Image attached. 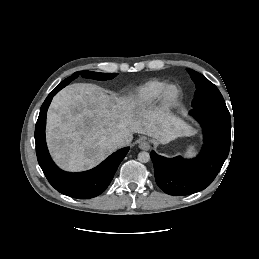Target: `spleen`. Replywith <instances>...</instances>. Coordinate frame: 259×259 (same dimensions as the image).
I'll use <instances>...</instances> for the list:
<instances>
[{
	"label": "spleen",
	"instance_id": "1",
	"mask_svg": "<svg viewBox=\"0 0 259 259\" xmlns=\"http://www.w3.org/2000/svg\"><path fill=\"white\" fill-rule=\"evenodd\" d=\"M194 146H190L188 149H187V151H186V154L187 155H189V156H191V155H193L194 154Z\"/></svg>",
	"mask_w": 259,
	"mask_h": 259
}]
</instances>
